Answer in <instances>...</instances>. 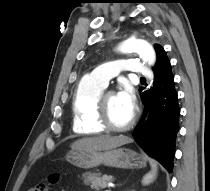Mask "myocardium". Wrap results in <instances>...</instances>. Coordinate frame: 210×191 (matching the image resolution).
I'll list each match as a JSON object with an SVG mask.
<instances>
[{
	"instance_id": "myocardium-1",
	"label": "myocardium",
	"mask_w": 210,
	"mask_h": 191,
	"mask_svg": "<svg viewBox=\"0 0 210 191\" xmlns=\"http://www.w3.org/2000/svg\"><path fill=\"white\" fill-rule=\"evenodd\" d=\"M113 92L101 93L96 103V120L98 124L109 132H124L133 127L136 120V113L133 111L131 119L124 126H115L111 123L108 115L106 97Z\"/></svg>"
}]
</instances>
